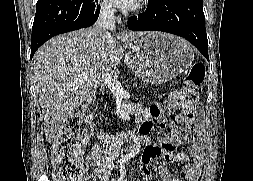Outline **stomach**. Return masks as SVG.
<instances>
[{
  "label": "stomach",
  "instance_id": "obj_1",
  "mask_svg": "<svg viewBox=\"0 0 253 181\" xmlns=\"http://www.w3.org/2000/svg\"><path fill=\"white\" fill-rule=\"evenodd\" d=\"M193 49L180 37L148 32L132 42L130 69L144 82L162 84L188 69Z\"/></svg>",
  "mask_w": 253,
  "mask_h": 181
}]
</instances>
